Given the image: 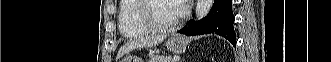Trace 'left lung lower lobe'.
Instances as JSON below:
<instances>
[{
    "label": "left lung lower lobe",
    "instance_id": "1",
    "mask_svg": "<svg viewBox=\"0 0 331 62\" xmlns=\"http://www.w3.org/2000/svg\"><path fill=\"white\" fill-rule=\"evenodd\" d=\"M234 19L232 0H215L212 9L205 18L199 21L191 20L178 33L188 36L216 33L225 37L236 47Z\"/></svg>",
    "mask_w": 331,
    "mask_h": 62
}]
</instances>
